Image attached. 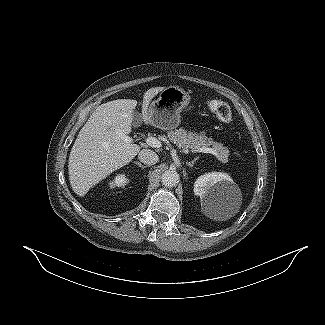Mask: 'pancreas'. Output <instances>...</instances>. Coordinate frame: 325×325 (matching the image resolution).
Returning <instances> with one entry per match:
<instances>
[{
  "mask_svg": "<svg viewBox=\"0 0 325 325\" xmlns=\"http://www.w3.org/2000/svg\"><path fill=\"white\" fill-rule=\"evenodd\" d=\"M168 138L178 147L190 149L192 151L200 147L212 146L217 153L216 157L218 160L222 163L228 162L229 150L221 143L214 142L211 138H207L203 132L198 134L187 132L186 130L180 128L168 132Z\"/></svg>",
  "mask_w": 325,
  "mask_h": 325,
  "instance_id": "cf45deb5",
  "label": "pancreas"
}]
</instances>
